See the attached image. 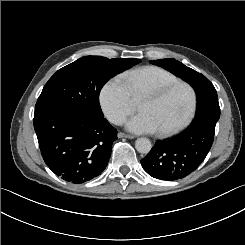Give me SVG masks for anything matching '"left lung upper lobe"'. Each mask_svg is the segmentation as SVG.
Here are the masks:
<instances>
[{
    "label": "left lung upper lobe",
    "instance_id": "5c2ea615",
    "mask_svg": "<svg viewBox=\"0 0 245 245\" xmlns=\"http://www.w3.org/2000/svg\"><path fill=\"white\" fill-rule=\"evenodd\" d=\"M150 62L154 65L161 66L164 69L172 72L176 76L182 78L194 88L195 92L202 86L203 83L210 82L204 75L185 66L175 59L168 58L161 60H152Z\"/></svg>",
    "mask_w": 245,
    "mask_h": 245
}]
</instances>
